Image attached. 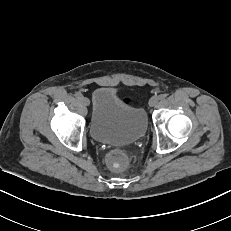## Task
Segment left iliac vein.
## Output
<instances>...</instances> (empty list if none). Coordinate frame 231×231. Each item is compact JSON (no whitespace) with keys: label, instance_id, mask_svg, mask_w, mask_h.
Masks as SVG:
<instances>
[{"label":"left iliac vein","instance_id":"4c4485c4","mask_svg":"<svg viewBox=\"0 0 231 231\" xmlns=\"http://www.w3.org/2000/svg\"><path fill=\"white\" fill-rule=\"evenodd\" d=\"M158 101H159V97L158 96H153L149 100V105L151 107H153V106H155L158 103Z\"/></svg>","mask_w":231,"mask_h":231}]
</instances>
